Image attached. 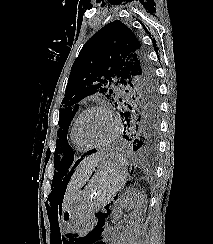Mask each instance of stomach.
I'll return each instance as SVG.
<instances>
[{
    "label": "stomach",
    "mask_w": 213,
    "mask_h": 244,
    "mask_svg": "<svg viewBox=\"0 0 213 244\" xmlns=\"http://www.w3.org/2000/svg\"><path fill=\"white\" fill-rule=\"evenodd\" d=\"M124 149H104L93 174L77 191L61 215V229L75 233L86 229L94 213L111 202L128 177Z\"/></svg>",
    "instance_id": "1"
}]
</instances>
